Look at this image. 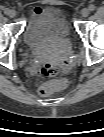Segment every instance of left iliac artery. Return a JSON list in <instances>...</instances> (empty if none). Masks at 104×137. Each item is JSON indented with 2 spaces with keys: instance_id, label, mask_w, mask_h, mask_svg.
I'll return each instance as SVG.
<instances>
[{
  "instance_id": "obj_1",
  "label": "left iliac artery",
  "mask_w": 104,
  "mask_h": 137,
  "mask_svg": "<svg viewBox=\"0 0 104 137\" xmlns=\"http://www.w3.org/2000/svg\"><path fill=\"white\" fill-rule=\"evenodd\" d=\"M89 10H90V11H94V10H95V6H94L93 4H91V5L89 6Z\"/></svg>"
}]
</instances>
